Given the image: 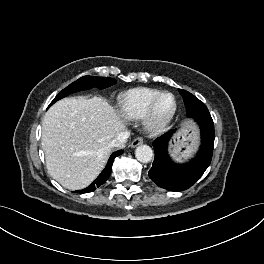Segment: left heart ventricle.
Returning <instances> with one entry per match:
<instances>
[{"label": "left heart ventricle", "mask_w": 264, "mask_h": 264, "mask_svg": "<svg viewBox=\"0 0 264 264\" xmlns=\"http://www.w3.org/2000/svg\"><path fill=\"white\" fill-rule=\"evenodd\" d=\"M173 108V99L170 96H167L162 99L158 106V114L164 116L168 114Z\"/></svg>", "instance_id": "b2bd125f"}]
</instances>
